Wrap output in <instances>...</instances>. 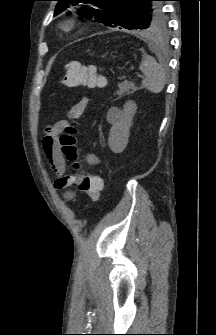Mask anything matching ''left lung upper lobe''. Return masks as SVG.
Masks as SVG:
<instances>
[{
    "instance_id": "5c2ea615",
    "label": "left lung upper lobe",
    "mask_w": 216,
    "mask_h": 335,
    "mask_svg": "<svg viewBox=\"0 0 216 335\" xmlns=\"http://www.w3.org/2000/svg\"><path fill=\"white\" fill-rule=\"evenodd\" d=\"M54 16L80 3L78 15L110 27L159 33L166 29L162 0H56Z\"/></svg>"
}]
</instances>
